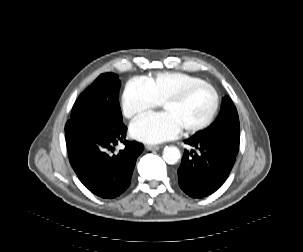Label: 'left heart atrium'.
<instances>
[{"instance_id":"left-heart-atrium-1","label":"left heart atrium","mask_w":303,"mask_h":252,"mask_svg":"<svg viewBox=\"0 0 303 252\" xmlns=\"http://www.w3.org/2000/svg\"><path fill=\"white\" fill-rule=\"evenodd\" d=\"M135 130L140 138L148 140L170 139L178 134L177 123L168 114L145 117L137 123ZM157 133H159L158 137L150 136Z\"/></svg>"}]
</instances>
